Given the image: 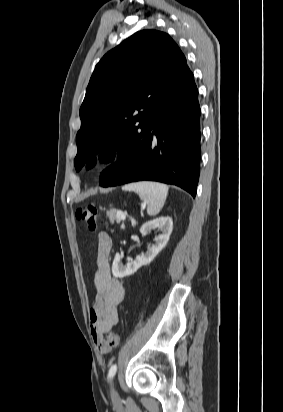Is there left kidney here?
<instances>
[{"mask_svg": "<svg viewBox=\"0 0 283 412\" xmlns=\"http://www.w3.org/2000/svg\"><path fill=\"white\" fill-rule=\"evenodd\" d=\"M158 229L162 233L156 238L155 244L152 245L146 253L137 256L136 260L123 265L121 262L122 255L117 253L112 264V274L116 278H123L134 274L140 267L149 264L154 260L158 253L166 246L173 230V221L170 217H159L145 223L140 233L147 235L151 230Z\"/></svg>", "mask_w": 283, "mask_h": 412, "instance_id": "1", "label": "left kidney"}]
</instances>
